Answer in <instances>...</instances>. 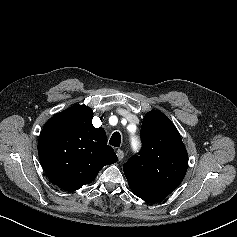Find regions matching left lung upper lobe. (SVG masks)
I'll return each instance as SVG.
<instances>
[{"label": "left lung upper lobe", "instance_id": "1", "mask_svg": "<svg viewBox=\"0 0 237 237\" xmlns=\"http://www.w3.org/2000/svg\"><path fill=\"white\" fill-rule=\"evenodd\" d=\"M142 149L123 165L129 187L146 201H160L182 182L188 154L181 136L162 112L145 115L140 131Z\"/></svg>", "mask_w": 237, "mask_h": 237}]
</instances>
